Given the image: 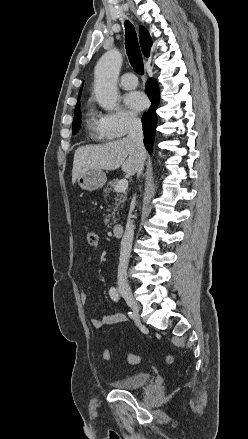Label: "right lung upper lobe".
<instances>
[{
    "instance_id": "cb5924a9",
    "label": "right lung upper lobe",
    "mask_w": 248,
    "mask_h": 439,
    "mask_svg": "<svg viewBox=\"0 0 248 439\" xmlns=\"http://www.w3.org/2000/svg\"><path fill=\"white\" fill-rule=\"evenodd\" d=\"M139 30H140V44H141L142 52L146 57H148L150 54L151 46H152L151 37H150L148 31L143 26H141ZM81 90L82 89H80L78 99H80ZM79 109H80V102L78 101L76 104V107H75V111H77Z\"/></svg>"
}]
</instances>
